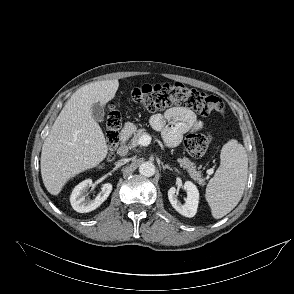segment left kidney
<instances>
[{"label": "left kidney", "mask_w": 294, "mask_h": 294, "mask_svg": "<svg viewBox=\"0 0 294 294\" xmlns=\"http://www.w3.org/2000/svg\"><path fill=\"white\" fill-rule=\"evenodd\" d=\"M184 190L187 193V198L185 200V203L182 204L180 201H178L175 193H176V188L171 187L168 190V199L172 205V207L181 215L185 217H194L197 208H198V203H199V191L192 182L187 181L183 185Z\"/></svg>", "instance_id": "5707ae66"}]
</instances>
